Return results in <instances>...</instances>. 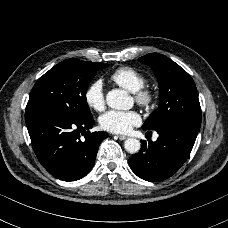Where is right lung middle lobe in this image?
I'll return each mask as SVG.
<instances>
[{"mask_svg": "<svg viewBox=\"0 0 228 228\" xmlns=\"http://www.w3.org/2000/svg\"><path fill=\"white\" fill-rule=\"evenodd\" d=\"M108 64L67 59L46 72L34 85L26 107V117L55 112L76 119L92 117L86 102L89 82Z\"/></svg>", "mask_w": 228, "mask_h": 228, "instance_id": "obj_1", "label": "right lung middle lobe"}]
</instances>
